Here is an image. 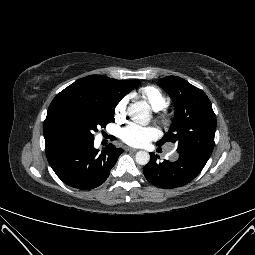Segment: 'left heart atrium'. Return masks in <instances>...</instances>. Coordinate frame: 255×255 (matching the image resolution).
I'll list each match as a JSON object with an SVG mask.
<instances>
[{"mask_svg": "<svg viewBox=\"0 0 255 255\" xmlns=\"http://www.w3.org/2000/svg\"><path fill=\"white\" fill-rule=\"evenodd\" d=\"M158 136L157 129L130 124L120 131V138L128 145L141 147Z\"/></svg>", "mask_w": 255, "mask_h": 255, "instance_id": "left-heart-atrium-1", "label": "left heart atrium"}]
</instances>
